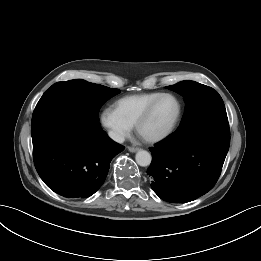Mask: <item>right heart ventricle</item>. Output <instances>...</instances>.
<instances>
[{
	"mask_svg": "<svg viewBox=\"0 0 261 261\" xmlns=\"http://www.w3.org/2000/svg\"><path fill=\"white\" fill-rule=\"evenodd\" d=\"M160 94V92H148L124 96L116 100L113 106L121 117L131 125H135L138 117L149 103Z\"/></svg>",
	"mask_w": 261,
	"mask_h": 261,
	"instance_id": "right-heart-ventricle-1",
	"label": "right heart ventricle"
}]
</instances>
